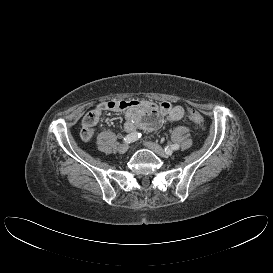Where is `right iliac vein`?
<instances>
[{"instance_id":"1","label":"right iliac vein","mask_w":273,"mask_h":273,"mask_svg":"<svg viewBox=\"0 0 273 273\" xmlns=\"http://www.w3.org/2000/svg\"><path fill=\"white\" fill-rule=\"evenodd\" d=\"M128 144H121V145H119V147H118V152L120 153V154H124L125 152H127V150H128Z\"/></svg>"}]
</instances>
